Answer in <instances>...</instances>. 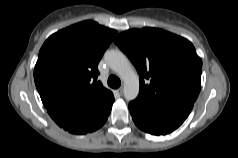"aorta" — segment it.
<instances>
[{
  "label": "aorta",
  "mask_w": 238,
  "mask_h": 158,
  "mask_svg": "<svg viewBox=\"0 0 238 158\" xmlns=\"http://www.w3.org/2000/svg\"><path fill=\"white\" fill-rule=\"evenodd\" d=\"M108 66L118 74L124 83V97L134 100L139 93V79L128 58L120 50H109L105 53Z\"/></svg>",
  "instance_id": "762f6f07"
}]
</instances>
